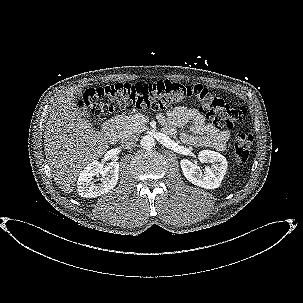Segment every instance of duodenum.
<instances>
[{"instance_id":"obj_1","label":"duodenum","mask_w":303,"mask_h":303,"mask_svg":"<svg viewBox=\"0 0 303 303\" xmlns=\"http://www.w3.org/2000/svg\"><path fill=\"white\" fill-rule=\"evenodd\" d=\"M106 132L108 133V137L111 141L115 140L116 139V134H115V131H114V127L112 124H109L106 128Z\"/></svg>"}]
</instances>
